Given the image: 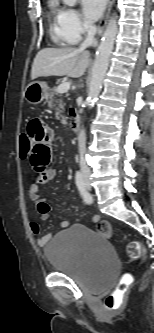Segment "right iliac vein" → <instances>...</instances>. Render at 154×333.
<instances>
[{
	"instance_id": "obj_1",
	"label": "right iliac vein",
	"mask_w": 154,
	"mask_h": 333,
	"mask_svg": "<svg viewBox=\"0 0 154 333\" xmlns=\"http://www.w3.org/2000/svg\"><path fill=\"white\" fill-rule=\"evenodd\" d=\"M84 183H85V185H86L87 187L90 186L89 181H88L87 179L84 180Z\"/></svg>"
}]
</instances>
